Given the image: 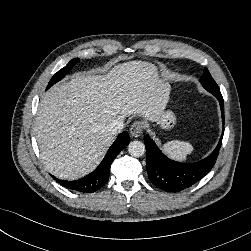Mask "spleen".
I'll list each match as a JSON object with an SVG mask.
<instances>
[{"label": "spleen", "instance_id": "spleen-1", "mask_svg": "<svg viewBox=\"0 0 251 251\" xmlns=\"http://www.w3.org/2000/svg\"><path fill=\"white\" fill-rule=\"evenodd\" d=\"M162 149L169 157L179 161H185L187 155L191 154L193 151L191 144L177 140L165 143Z\"/></svg>", "mask_w": 251, "mask_h": 251}]
</instances>
